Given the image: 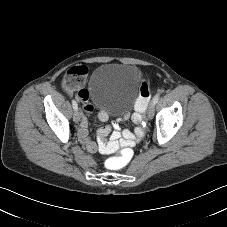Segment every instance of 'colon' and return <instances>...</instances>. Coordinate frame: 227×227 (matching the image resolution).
<instances>
[{
	"mask_svg": "<svg viewBox=\"0 0 227 227\" xmlns=\"http://www.w3.org/2000/svg\"><path fill=\"white\" fill-rule=\"evenodd\" d=\"M63 84L71 90L79 89L81 77L79 74H68L66 75L63 80ZM82 89L78 90V93ZM152 91V86L148 82H143L140 87V95L135 104V120L137 122H141L143 119V112L142 109H146L148 105V100ZM77 93V94H78ZM111 162L115 167L122 168L130 162V154L126 150H121L117 155H115Z\"/></svg>",
	"mask_w": 227,
	"mask_h": 227,
	"instance_id": "5ec220e1",
	"label": "colon"
}]
</instances>
